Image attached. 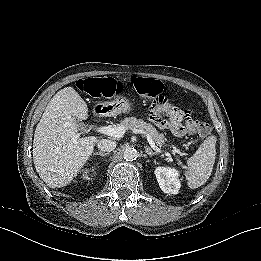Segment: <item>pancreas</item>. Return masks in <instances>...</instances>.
Listing matches in <instances>:
<instances>
[{
    "mask_svg": "<svg viewBox=\"0 0 261 261\" xmlns=\"http://www.w3.org/2000/svg\"><path fill=\"white\" fill-rule=\"evenodd\" d=\"M120 125L130 130H133L134 128L143 129L151 135L154 143H156L157 146H168L167 144H165L167 140L164 135L160 134L152 124L146 123L141 119H136L135 117H127L120 122Z\"/></svg>",
    "mask_w": 261,
    "mask_h": 261,
    "instance_id": "1",
    "label": "pancreas"
}]
</instances>
